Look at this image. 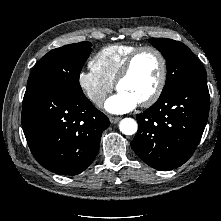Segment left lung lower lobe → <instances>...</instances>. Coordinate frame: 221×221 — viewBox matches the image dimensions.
Here are the masks:
<instances>
[{
    "label": "left lung lower lobe",
    "instance_id": "0a47b994",
    "mask_svg": "<svg viewBox=\"0 0 221 221\" xmlns=\"http://www.w3.org/2000/svg\"><path fill=\"white\" fill-rule=\"evenodd\" d=\"M208 114L207 79L188 80L162 94L156 103L137 116L138 131L131 147L152 168L175 169L195 151Z\"/></svg>",
    "mask_w": 221,
    "mask_h": 221
}]
</instances>
